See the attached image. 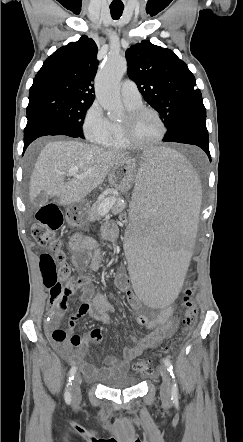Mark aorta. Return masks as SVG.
Here are the masks:
<instances>
[{"label": "aorta", "mask_w": 243, "mask_h": 442, "mask_svg": "<svg viewBox=\"0 0 243 442\" xmlns=\"http://www.w3.org/2000/svg\"><path fill=\"white\" fill-rule=\"evenodd\" d=\"M126 71L127 62L124 57L109 55L95 78L96 98L111 117L117 116L122 111L119 82Z\"/></svg>", "instance_id": "aorta-1"}]
</instances>
